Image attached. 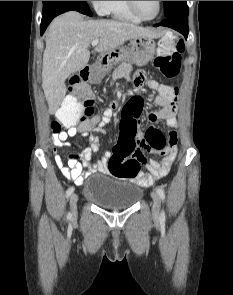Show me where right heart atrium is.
Returning <instances> with one entry per match:
<instances>
[{"instance_id": "right-heart-atrium-1", "label": "right heart atrium", "mask_w": 233, "mask_h": 295, "mask_svg": "<svg viewBox=\"0 0 233 295\" xmlns=\"http://www.w3.org/2000/svg\"><path fill=\"white\" fill-rule=\"evenodd\" d=\"M99 15L108 14L110 1H89Z\"/></svg>"}]
</instances>
